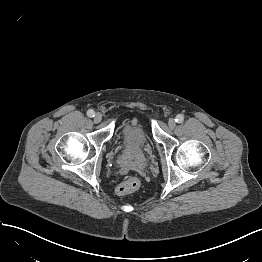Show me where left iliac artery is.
<instances>
[{
	"instance_id": "obj_1",
	"label": "left iliac artery",
	"mask_w": 262,
	"mask_h": 262,
	"mask_svg": "<svg viewBox=\"0 0 262 262\" xmlns=\"http://www.w3.org/2000/svg\"><path fill=\"white\" fill-rule=\"evenodd\" d=\"M175 121H176L177 123H182V122L184 121V116L181 115V114H178V115L176 116V118H175Z\"/></svg>"
}]
</instances>
